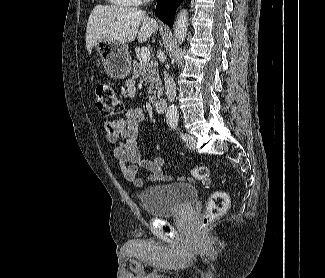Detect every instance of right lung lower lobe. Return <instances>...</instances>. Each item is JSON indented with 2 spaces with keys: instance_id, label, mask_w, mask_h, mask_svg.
<instances>
[{
  "instance_id": "obj_1",
  "label": "right lung lower lobe",
  "mask_w": 325,
  "mask_h": 278,
  "mask_svg": "<svg viewBox=\"0 0 325 278\" xmlns=\"http://www.w3.org/2000/svg\"><path fill=\"white\" fill-rule=\"evenodd\" d=\"M183 0H158L156 6V15L164 23L173 27L175 12Z\"/></svg>"
}]
</instances>
